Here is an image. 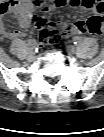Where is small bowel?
<instances>
[{
    "instance_id": "1",
    "label": "small bowel",
    "mask_w": 104,
    "mask_h": 137,
    "mask_svg": "<svg viewBox=\"0 0 104 137\" xmlns=\"http://www.w3.org/2000/svg\"><path fill=\"white\" fill-rule=\"evenodd\" d=\"M43 0H8L0 5V32L7 39H18L25 35L21 30L10 31L7 29L5 18L7 15H13L22 29L29 28L33 23L42 21L45 25L55 26L56 23L34 14V10L41 6ZM70 5L72 7L82 8L91 11L94 16L104 14V3L101 0H49V4L43 8L44 13H50L58 10L60 7ZM92 16V17H94ZM89 19H79L73 23H65L62 26L68 28V34L71 33H90L86 28L90 25ZM91 26V25H90Z\"/></svg>"
}]
</instances>
